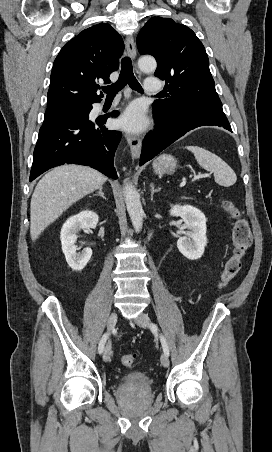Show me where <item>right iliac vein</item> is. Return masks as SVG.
I'll list each match as a JSON object with an SVG mask.
<instances>
[{
	"mask_svg": "<svg viewBox=\"0 0 272 452\" xmlns=\"http://www.w3.org/2000/svg\"><path fill=\"white\" fill-rule=\"evenodd\" d=\"M117 319H118L117 313L116 312H112L111 315L109 316L108 322H107V327H108L109 331L114 329V327H115V325L117 323ZM111 353H112L111 352V346H110V343L108 342L106 344L104 352H103V360L105 362L110 361Z\"/></svg>",
	"mask_w": 272,
	"mask_h": 452,
	"instance_id": "63e3f726",
	"label": "right iliac vein"
}]
</instances>
